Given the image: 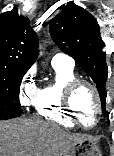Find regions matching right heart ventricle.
Instances as JSON below:
<instances>
[{
	"label": "right heart ventricle",
	"mask_w": 114,
	"mask_h": 156,
	"mask_svg": "<svg viewBox=\"0 0 114 156\" xmlns=\"http://www.w3.org/2000/svg\"><path fill=\"white\" fill-rule=\"evenodd\" d=\"M53 69L54 79L38 90L33 105L40 117L61 126L72 128L76 123L67 113L63 104V97L66 86L77 77L73 68L53 65Z\"/></svg>",
	"instance_id": "right-heart-ventricle-1"
}]
</instances>
